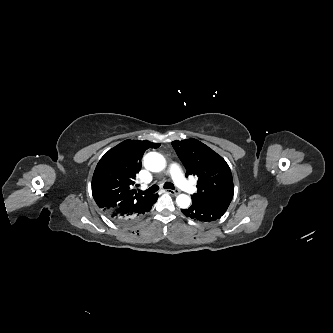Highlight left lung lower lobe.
Segmentation results:
<instances>
[{"label":"left lung lower lobe","instance_id":"left-lung-lower-lobe-1","mask_svg":"<svg viewBox=\"0 0 333 333\" xmlns=\"http://www.w3.org/2000/svg\"><path fill=\"white\" fill-rule=\"evenodd\" d=\"M228 207L210 204L201 200L192 199V205L189 208L182 209V213L195 220L210 222L220 218Z\"/></svg>","mask_w":333,"mask_h":333}]
</instances>
